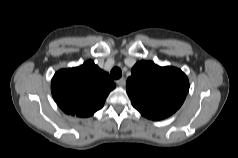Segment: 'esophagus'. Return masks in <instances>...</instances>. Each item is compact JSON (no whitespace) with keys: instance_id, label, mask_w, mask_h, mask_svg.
Wrapping results in <instances>:
<instances>
[{"instance_id":"esophagus-1","label":"esophagus","mask_w":238,"mask_h":158,"mask_svg":"<svg viewBox=\"0 0 238 158\" xmlns=\"http://www.w3.org/2000/svg\"><path fill=\"white\" fill-rule=\"evenodd\" d=\"M126 83V79L125 78H120L118 80H116V84L119 86H124Z\"/></svg>"}]
</instances>
